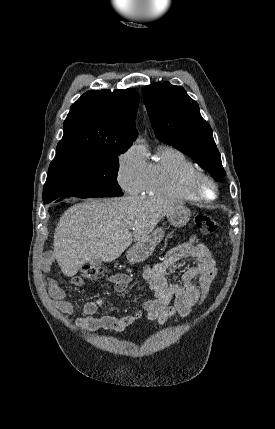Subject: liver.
I'll use <instances>...</instances> for the list:
<instances>
[{
  "label": "liver",
  "instance_id": "1",
  "mask_svg": "<svg viewBox=\"0 0 275 429\" xmlns=\"http://www.w3.org/2000/svg\"><path fill=\"white\" fill-rule=\"evenodd\" d=\"M179 204L156 197L88 199L68 208L54 233V255L67 277L87 262L117 259L132 243L145 239ZM130 230H133L131 232Z\"/></svg>",
  "mask_w": 275,
  "mask_h": 429
}]
</instances>
